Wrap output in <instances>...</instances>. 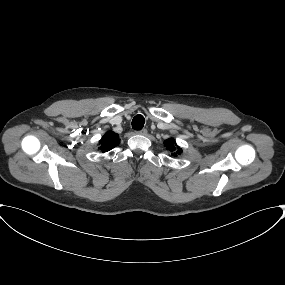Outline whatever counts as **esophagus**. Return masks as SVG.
Segmentation results:
<instances>
[{
  "label": "esophagus",
  "mask_w": 285,
  "mask_h": 285,
  "mask_svg": "<svg viewBox=\"0 0 285 285\" xmlns=\"http://www.w3.org/2000/svg\"><path fill=\"white\" fill-rule=\"evenodd\" d=\"M136 133L140 134V135H146L147 134V129H142L140 131H137Z\"/></svg>",
  "instance_id": "1"
}]
</instances>
